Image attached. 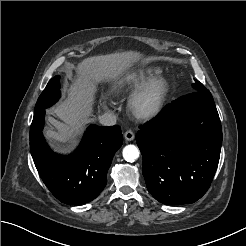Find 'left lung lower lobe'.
I'll return each instance as SVG.
<instances>
[{
	"label": "left lung lower lobe",
	"mask_w": 246,
	"mask_h": 246,
	"mask_svg": "<svg viewBox=\"0 0 246 246\" xmlns=\"http://www.w3.org/2000/svg\"><path fill=\"white\" fill-rule=\"evenodd\" d=\"M136 140L152 196L167 205L197 201L210 187L222 144L210 91H195L173 101L140 127Z\"/></svg>",
	"instance_id": "obj_1"
}]
</instances>
